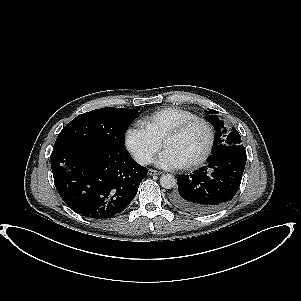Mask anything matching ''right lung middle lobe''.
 I'll return each instance as SVG.
<instances>
[{"label":"right lung middle lobe","instance_id":"right-lung-middle-lobe-1","mask_svg":"<svg viewBox=\"0 0 301 301\" xmlns=\"http://www.w3.org/2000/svg\"><path fill=\"white\" fill-rule=\"evenodd\" d=\"M139 115L138 109L113 107L83 113L62 129L54 147L80 141H97L125 150V131Z\"/></svg>","mask_w":301,"mask_h":301}]
</instances>
